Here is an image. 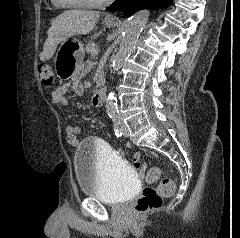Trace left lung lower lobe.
Masks as SVG:
<instances>
[{"label":"left lung lower lobe","mask_w":240,"mask_h":238,"mask_svg":"<svg viewBox=\"0 0 240 238\" xmlns=\"http://www.w3.org/2000/svg\"><path fill=\"white\" fill-rule=\"evenodd\" d=\"M172 1L173 0H116L107 10L132 15L142 9L165 8L169 6Z\"/></svg>","instance_id":"1"}]
</instances>
